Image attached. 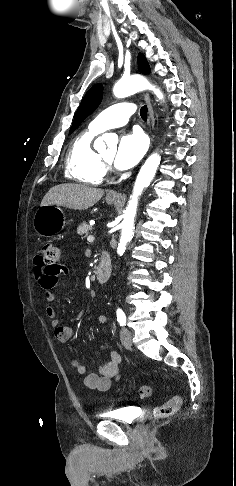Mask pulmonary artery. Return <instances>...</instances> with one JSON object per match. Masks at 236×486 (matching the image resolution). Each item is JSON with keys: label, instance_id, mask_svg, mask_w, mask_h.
I'll return each mask as SVG.
<instances>
[{"label": "pulmonary artery", "instance_id": "1", "mask_svg": "<svg viewBox=\"0 0 236 486\" xmlns=\"http://www.w3.org/2000/svg\"><path fill=\"white\" fill-rule=\"evenodd\" d=\"M135 112V106L129 102L114 104L99 113L89 124V129L101 133L107 129L124 126Z\"/></svg>", "mask_w": 236, "mask_h": 486}]
</instances>
